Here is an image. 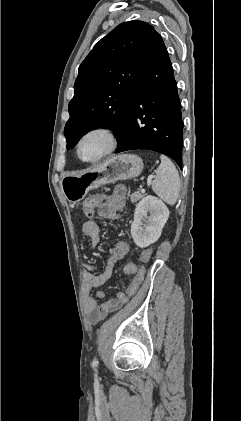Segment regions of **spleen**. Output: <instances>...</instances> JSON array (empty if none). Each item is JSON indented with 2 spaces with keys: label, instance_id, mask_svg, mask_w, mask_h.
Listing matches in <instances>:
<instances>
[{
  "label": "spleen",
  "instance_id": "3e777b00",
  "mask_svg": "<svg viewBox=\"0 0 241 421\" xmlns=\"http://www.w3.org/2000/svg\"><path fill=\"white\" fill-rule=\"evenodd\" d=\"M161 164L156 170V177L152 181V190L169 205H174L179 197L180 179L179 174L172 161L160 156Z\"/></svg>",
  "mask_w": 241,
  "mask_h": 421
}]
</instances>
